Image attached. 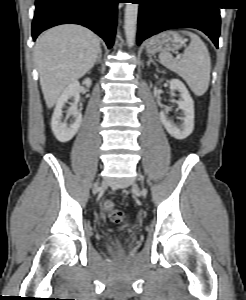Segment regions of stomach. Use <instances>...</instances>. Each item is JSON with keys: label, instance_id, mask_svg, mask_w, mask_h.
<instances>
[{"label": "stomach", "instance_id": "stomach-1", "mask_svg": "<svg viewBox=\"0 0 246 300\" xmlns=\"http://www.w3.org/2000/svg\"><path fill=\"white\" fill-rule=\"evenodd\" d=\"M185 45V39L176 31H167L151 38L146 44L148 54L176 51Z\"/></svg>", "mask_w": 246, "mask_h": 300}]
</instances>
